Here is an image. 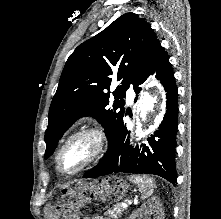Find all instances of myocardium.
Instances as JSON below:
<instances>
[{
  "label": "myocardium",
  "instance_id": "myocardium-1",
  "mask_svg": "<svg viewBox=\"0 0 221 219\" xmlns=\"http://www.w3.org/2000/svg\"><path fill=\"white\" fill-rule=\"evenodd\" d=\"M81 137H88L91 139L93 148L86 159V161L75 171L70 173H65L60 169V158L64 150L67 146L74 140L81 138ZM107 144V137L105 131L99 126H89L82 128L74 133H72L59 147L56 157H55V166L56 170L64 176H74L79 174L80 172L84 171L88 167H90L94 162H96L100 156L103 154Z\"/></svg>",
  "mask_w": 221,
  "mask_h": 219
}]
</instances>
